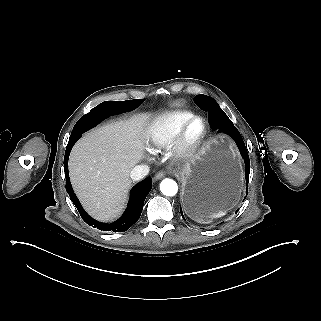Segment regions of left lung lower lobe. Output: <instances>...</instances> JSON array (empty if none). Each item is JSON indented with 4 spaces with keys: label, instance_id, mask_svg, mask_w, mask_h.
I'll return each instance as SVG.
<instances>
[{
    "label": "left lung lower lobe",
    "instance_id": "0a47b994",
    "mask_svg": "<svg viewBox=\"0 0 321 321\" xmlns=\"http://www.w3.org/2000/svg\"><path fill=\"white\" fill-rule=\"evenodd\" d=\"M207 112H208V120H209V124L211 125V128L213 130H218V132H224L228 134L236 142L240 150V153L245 161L246 185L248 186L249 173H250V160H249V156H248V152L246 150L245 144L243 142V139L239 131L219 106H209L207 107ZM246 191H248V187H246ZM180 211L184 219L182 210L180 209Z\"/></svg>",
    "mask_w": 321,
    "mask_h": 321
}]
</instances>
